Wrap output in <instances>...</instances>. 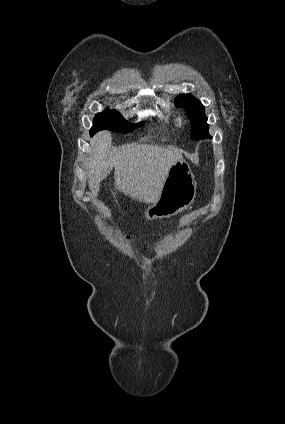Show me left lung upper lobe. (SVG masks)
Instances as JSON below:
<instances>
[{"label": "left lung upper lobe", "mask_w": 285, "mask_h": 424, "mask_svg": "<svg viewBox=\"0 0 285 424\" xmlns=\"http://www.w3.org/2000/svg\"><path fill=\"white\" fill-rule=\"evenodd\" d=\"M175 104L177 107L184 108L191 121V139L200 140L210 137L205 108L198 99L191 94H183L176 97Z\"/></svg>", "instance_id": "left-lung-upper-lobe-1"}]
</instances>
